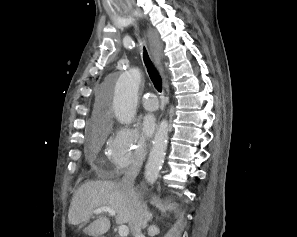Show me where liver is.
Here are the masks:
<instances>
[{
	"label": "liver",
	"mask_w": 297,
	"mask_h": 237,
	"mask_svg": "<svg viewBox=\"0 0 297 237\" xmlns=\"http://www.w3.org/2000/svg\"><path fill=\"white\" fill-rule=\"evenodd\" d=\"M110 207L116 213V223L122 225L130 222L128 200L119 184L109 181L86 182L72 197L68 212L71 225L89 222L94 211L100 207ZM110 229V220L100 217L91 222L84 233L93 237L103 235Z\"/></svg>",
	"instance_id": "obj_1"
}]
</instances>
